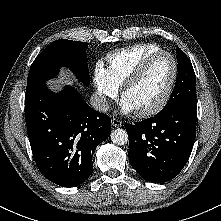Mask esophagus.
I'll return each instance as SVG.
<instances>
[{
	"instance_id": "obj_1",
	"label": "esophagus",
	"mask_w": 221,
	"mask_h": 221,
	"mask_svg": "<svg viewBox=\"0 0 221 221\" xmlns=\"http://www.w3.org/2000/svg\"><path fill=\"white\" fill-rule=\"evenodd\" d=\"M111 122L114 127H121L122 126V122L116 118H112Z\"/></svg>"
}]
</instances>
